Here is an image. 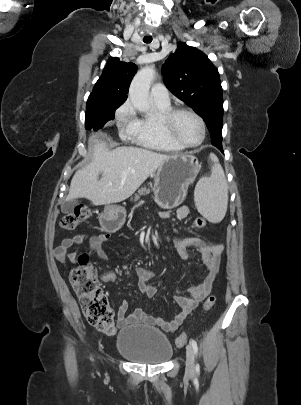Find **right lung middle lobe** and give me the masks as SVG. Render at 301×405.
<instances>
[{"instance_id":"obj_1","label":"right lung middle lobe","mask_w":301,"mask_h":405,"mask_svg":"<svg viewBox=\"0 0 301 405\" xmlns=\"http://www.w3.org/2000/svg\"><path fill=\"white\" fill-rule=\"evenodd\" d=\"M116 108H111L104 105L101 102H93L87 104L86 106V115H85V127L86 129H100L108 121L114 119V114Z\"/></svg>"}]
</instances>
